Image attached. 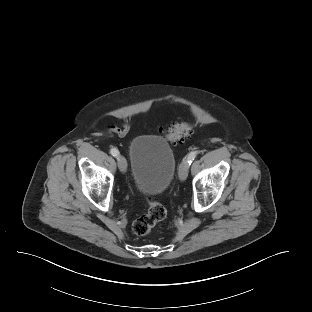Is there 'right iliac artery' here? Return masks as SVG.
I'll return each mask as SVG.
<instances>
[{"label": "right iliac artery", "mask_w": 312, "mask_h": 312, "mask_svg": "<svg viewBox=\"0 0 312 312\" xmlns=\"http://www.w3.org/2000/svg\"><path fill=\"white\" fill-rule=\"evenodd\" d=\"M110 153L112 154V156L117 157L119 155V151L116 148H112L110 150Z\"/></svg>", "instance_id": "right-iliac-artery-1"}]
</instances>
